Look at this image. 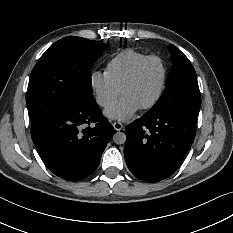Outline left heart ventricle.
<instances>
[{
  "mask_svg": "<svg viewBox=\"0 0 233 233\" xmlns=\"http://www.w3.org/2000/svg\"><path fill=\"white\" fill-rule=\"evenodd\" d=\"M163 66L157 59L150 61L144 67L137 80L123 96H128L139 103L141 107L154 100L163 80Z\"/></svg>",
  "mask_w": 233,
  "mask_h": 233,
  "instance_id": "obj_1",
  "label": "left heart ventricle"
}]
</instances>
